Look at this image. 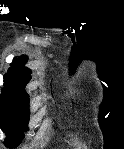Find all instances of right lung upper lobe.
<instances>
[{
  "instance_id": "1",
  "label": "right lung upper lobe",
  "mask_w": 124,
  "mask_h": 149,
  "mask_svg": "<svg viewBox=\"0 0 124 149\" xmlns=\"http://www.w3.org/2000/svg\"><path fill=\"white\" fill-rule=\"evenodd\" d=\"M27 59V56L24 55L14 58L11 67L4 76V84L6 86L24 89L31 79V70L24 66Z\"/></svg>"
}]
</instances>
